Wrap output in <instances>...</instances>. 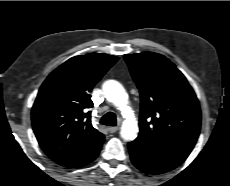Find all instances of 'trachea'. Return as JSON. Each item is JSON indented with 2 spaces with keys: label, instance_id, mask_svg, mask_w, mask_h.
<instances>
[{
  "label": "trachea",
  "instance_id": "3493384b",
  "mask_svg": "<svg viewBox=\"0 0 230 186\" xmlns=\"http://www.w3.org/2000/svg\"><path fill=\"white\" fill-rule=\"evenodd\" d=\"M100 123L107 126H116V116L112 112L106 113L100 120Z\"/></svg>",
  "mask_w": 230,
  "mask_h": 186
}]
</instances>
